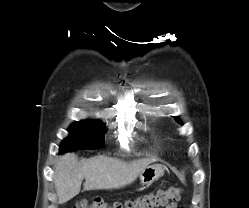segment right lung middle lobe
Masks as SVG:
<instances>
[{"label": "right lung middle lobe", "mask_w": 249, "mask_h": 208, "mask_svg": "<svg viewBox=\"0 0 249 208\" xmlns=\"http://www.w3.org/2000/svg\"><path fill=\"white\" fill-rule=\"evenodd\" d=\"M60 146V154L74 149H95L103 145L105 125L96 120H83L72 124Z\"/></svg>", "instance_id": "1"}]
</instances>
